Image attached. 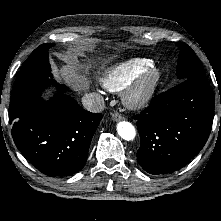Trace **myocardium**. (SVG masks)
Returning a JSON list of instances; mask_svg holds the SVG:
<instances>
[{
	"instance_id": "1",
	"label": "myocardium",
	"mask_w": 221,
	"mask_h": 221,
	"mask_svg": "<svg viewBox=\"0 0 221 221\" xmlns=\"http://www.w3.org/2000/svg\"><path fill=\"white\" fill-rule=\"evenodd\" d=\"M161 80L162 70L150 66L125 87L123 102L131 109L146 107L154 98Z\"/></svg>"
}]
</instances>
